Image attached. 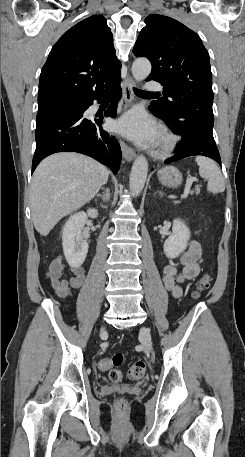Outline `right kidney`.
<instances>
[{"label": "right kidney", "mask_w": 245, "mask_h": 457, "mask_svg": "<svg viewBox=\"0 0 245 457\" xmlns=\"http://www.w3.org/2000/svg\"><path fill=\"white\" fill-rule=\"evenodd\" d=\"M97 218V208H88L87 212L80 210L72 214L68 220H66L63 226L62 233V245L63 251L67 257L68 265L73 269H78L83 265L89 245L86 241H83V229L87 222V218Z\"/></svg>", "instance_id": "obj_1"}]
</instances>
